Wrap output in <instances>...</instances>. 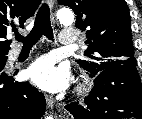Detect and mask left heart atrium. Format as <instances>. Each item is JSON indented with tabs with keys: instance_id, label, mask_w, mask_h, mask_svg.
Masks as SVG:
<instances>
[{
	"instance_id": "39dd6f15",
	"label": "left heart atrium",
	"mask_w": 142,
	"mask_h": 119,
	"mask_svg": "<svg viewBox=\"0 0 142 119\" xmlns=\"http://www.w3.org/2000/svg\"><path fill=\"white\" fill-rule=\"evenodd\" d=\"M27 75L37 86L50 92L63 90L69 79L68 70L56 66L53 59L48 56L37 59L27 70Z\"/></svg>"
}]
</instances>
